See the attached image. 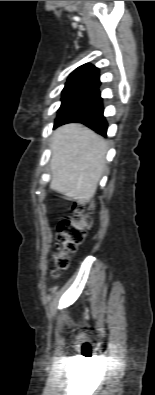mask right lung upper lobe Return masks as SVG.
<instances>
[{"instance_id":"1","label":"right lung upper lobe","mask_w":155,"mask_h":395,"mask_svg":"<svg viewBox=\"0 0 155 395\" xmlns=\"http://www.w3.org/2000/svg\"><path fill=\"white\" fill-rule=\"evenodd\" d=\"M72 84L98 87L100 85L98 68L90 64H84L78 67L69 76L66 83V85Z\"/></svg>"}]
</instances>
